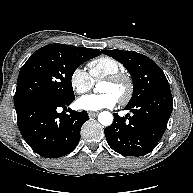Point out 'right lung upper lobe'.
<instances>
[{"label":"right lung upper lobe","mask_w":193,"mask_h":193,"mask_svg":"<svg viewBox=\"0 0 193 193\" xmlns=\"http://www.w3.org/2000/svg\"><path fill=\"white\" fill-rule=\"evenodd\" d=\"M81 48H83V49H85V50H90V51H92L93 53H95V54H97V55H100V54H101V52H100L98 49H89V48H85V47H81Z\"/></svg>","instance_id":"right-lung-upper-lobe-1"}]
</instances>
